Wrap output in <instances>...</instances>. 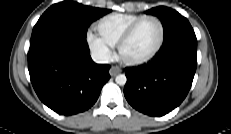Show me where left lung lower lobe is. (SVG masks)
I'll return each mask as SVG.
<instances>
[{
    "label": "left lung lower lobe",
    "mask_w": 231,
    "mask_h": 134,
    "mask_svg": "<svg viewBox=\"0 0 231 134\" xmlns=\"http://www.w3.org/2000/svg\"><path fill=\"white\" fill-rule=\"evenodd\" d=\"M197 66V40L177 41L162 47L149 64L125 69L124 95L136 110L163 116L187 96Z\"/></svg>",
    "instance_id": "1"
}]
</instances>
